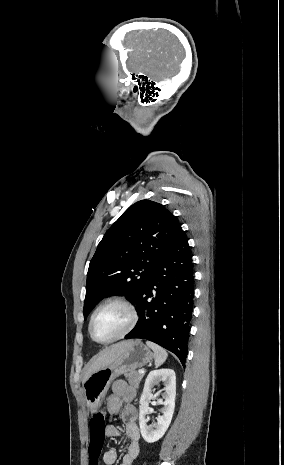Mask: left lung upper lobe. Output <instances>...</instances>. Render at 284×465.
<instances>
[{
    "label": "left lung upper lobe",
    "mask_w": 284,
    "mask_h": 465,
    "mask_svg": "<svg viewBox=\"0 0 284 465\" xmlns=\"http://www.w3.org/2000/svg\"><path fill=\"white\" fill-rule=\"evenodd\" d=\"M180 228L177 218L160 203L141 200L130 206L105 233L90 261L84 317L105 296L125 293L136 302Z\"/></svg>",
    "instance_id": "1"
}]
</instances>
